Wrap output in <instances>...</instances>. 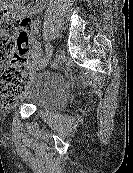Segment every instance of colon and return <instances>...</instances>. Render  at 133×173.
<instances>
[{
    "label": "colon",
    "instance_id": "obj_1",
    "mask_svg": "<svg viewBox=\"0 0 133 173\" xmlns=\"http://www.w3.org/2000/svg\"><path fill=\"white\" fill-rule=\"evenodd\" d=\"M32 22L20 19L8 7L0 8V105L13 104L24 89L23 65L31 49Z\"/></svg>",
    "mask_w": 133,
    "mask_h": 173
}]
</instances>
